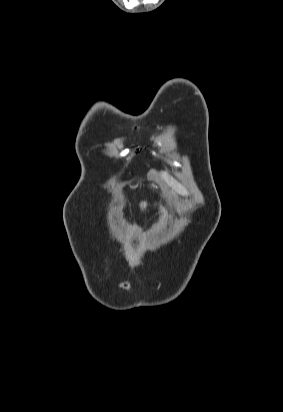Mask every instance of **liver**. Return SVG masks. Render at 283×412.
Segmentation results:
<instances>
[{
	"label": "liver",
	"instance_id": "1",
	"mask_svg": "<svg viewBox=\"0 0 283 412\" xmlns=\"http://www.w3.org/2000/svg\"><path fill=\"white\" fill-rule=\"evenodd\" d=\"M146 202H141V204H140V206L142 207V208H145L146 207Z\"/></svg>",
	"mask_w": 283,
	"mask_h": 412
}]
</instances>
